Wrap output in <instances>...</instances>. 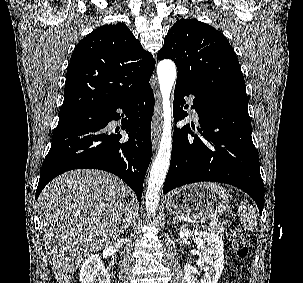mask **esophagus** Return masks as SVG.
I'll use <instances>...</instances> for the list:
<instances>
[{
    "instance_id": "esophagus-1",
    "label": "esophagus",
    "mask_w": 303,
    "mask_h": 283,
    "mask_svg": "<svg viewBox=\"0 0 303 283\" xmlns=\"http://www.w3.org/2000/svg\"><path fill=\"white\" fill-rule=\"evenodd\" d=\"M160 122H161V98L159 91L156 90L155 108H154V114L151 124L152 147L154 150L157 148L159 137H160V131H161Z\"/></svg>"
}]
</instances>
